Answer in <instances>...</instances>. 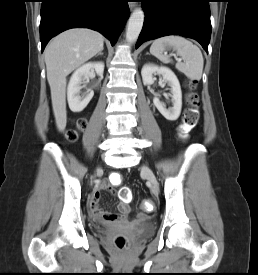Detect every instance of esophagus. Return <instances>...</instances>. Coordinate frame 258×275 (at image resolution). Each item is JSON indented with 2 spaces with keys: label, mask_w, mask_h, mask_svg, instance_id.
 <instances>
[{
  "label": "esophagus",
  "mask_w": 258,
  "mask_h": 275,
  "mask_svg": "<svg viewBox=\"0 0 258 275\" xmlns=\"http://www.w3.org/2000/svg\"><path fill=\"white\" fill-rule=\"evenodd\" d=\"M134 1H131L128 5L129 8L132 10L135 7V3H133Z\"/></svg>",
  "instance_id": "obj_1"
}]
</instances>
